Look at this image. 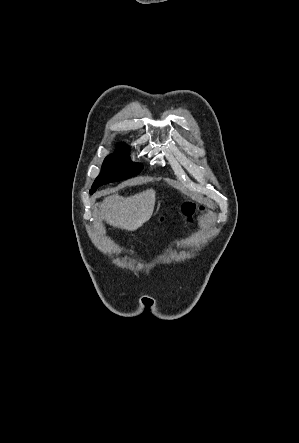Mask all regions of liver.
Returning a JSON list of instances; mask_svg holds the SVG:
<instances>
[{
  "instance_id": "obj_1",
  "label": "liver",
  "mask_w": 299,
  "mask_h": 443,
  "mask_svg": "<svg viewBox=\"0 0 299 443\" xmlns=\"http://www.w3.org/2000/svg\"><path fill=\"white\" fill-rule=\"evenodd\" d=\"M155 190L148 189L130 197L114 194L100 206V216L113 227L135 231L153 214Z\"/></svg>"
}]
</instances>
